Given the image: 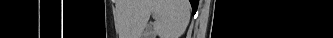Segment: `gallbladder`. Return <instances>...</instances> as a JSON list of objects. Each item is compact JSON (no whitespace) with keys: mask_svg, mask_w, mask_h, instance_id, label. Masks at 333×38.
<instances>
[{"mask_svg":"<svg viewBox=\"0 0 333 38\" xmlns=\"http://www.w3.org/2000/svg\"><path fill=\"white\" fill-rule=\"evenodd\" d=\"M143 36L147 37L149 36V28H146L143 32Z\"/></svg>","mask_w":333,"mask_h":38,"instance_id":"gallbladder-1","label":"gallbladder"}]
</instances>
